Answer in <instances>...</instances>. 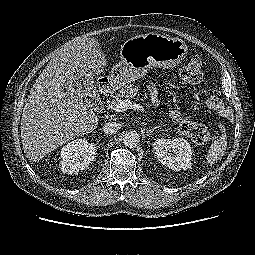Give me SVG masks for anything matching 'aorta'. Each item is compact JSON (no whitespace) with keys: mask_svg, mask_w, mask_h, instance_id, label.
I'll return each mask as SVG.
<instances>
[{"mask_svg":"<svg viewBox=\"0 0 255 255\" xmlns=\"http://www.w3.org/2000/svg\"><path fill=\"white\" fill-rule=\"evenodd\" d=\"M140 142L139 134L135 131L126 132L123 137V143L126 147H136Z\"/></svg>","mask_w":255,"mask_h":255,"instance_id":"1","label":"aorta"}]
</instances>
